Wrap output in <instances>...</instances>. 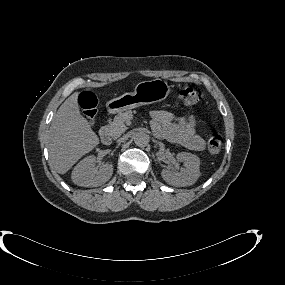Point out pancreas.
Listing matches in <instances>:
<instances>
[{
  "label": "pancreas",
  "instance_id": "obj_1",
  "mask_svg": "<svg viewBox=\"0 0 285 285\" xmlns=\"http://www.w3.org/2000/svg\"><path fill=\"white\" fill-rule=\"evenodd\" d=\"M130 117H132L131 111L119 113L118 115H116L113 121L110 122L106 127L108 135L112 138H118L122 133L127 130L125 121L128 120Z\"/></svg>",
  "mask_w": 285,
  "mask_h": 285
}]
</instances>
